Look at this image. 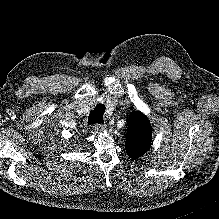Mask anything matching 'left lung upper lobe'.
Masks as SVG:
<instances>
[{"instance_id": "left-lung-upper-lobe-1", "label": "left lung upper lobe", "mask_w": 219, "mask_h": 219, "mask_svg": "<svg viewBox=\"0 0 219 219\" xmlns=\"http://www.w3.org/2000/svg\"><path fill=\"white\" fill-rule=\"evenodd\" d=\"M127 123L125 149L128 155L136 160L150 148L151 127L147 118L139 112L133 113Z\"/></svg>"}]
</instances>
